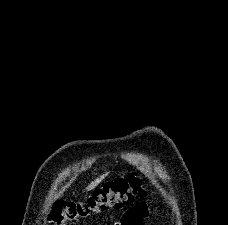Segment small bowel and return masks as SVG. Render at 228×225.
<instances>
[{
    "label": "small bowel",
    "mask_w": 228,
    "mask_h": 225,
    "mask_svg": "<svg viewBox=\"0 0 228 225\" xmlns=\"http://www.w3.org/2000/svg\"><path fill=\"white\" fill-rule=\"evenodd\" d=\"M147 208V204H136L123 214L121 222H116L114 225H142L141 218H146V213L140 212H146Z\"/></svg>",
    "instance_id": "obj_1"
}]
</instances>
